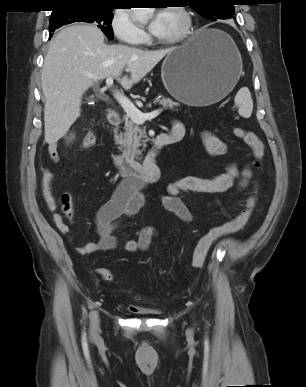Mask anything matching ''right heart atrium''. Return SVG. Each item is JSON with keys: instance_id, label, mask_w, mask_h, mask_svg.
<instances>
[{"instance_id": "obj_1", "label": "right heart atrium", "mask_w": 306, "mask_h": 387, "mask_svg": "<svg viewBox=\"0 0 306 387\" xmlns=\"http://www.w3.org/2000/svg\"><path fill=\"white\" fill-rule=\"evenodd\" d=\"M114 36L122 43L129 45L142 44L147 35L133 20L131 13L126 9H116L110 22Z\"/></svg>"}]
</instances>
